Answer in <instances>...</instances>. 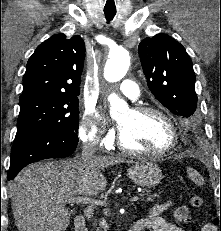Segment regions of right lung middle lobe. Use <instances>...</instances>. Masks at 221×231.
I'll return each instance as SVG.
<instances>
[{
	"mask_svg": "<svg viewBox=\"0 0 221 231\" xmlns=\"http://www.w3.org/2000/svg\"><path fill=\"white\" fill-rule=\"evenodd\" d=\"M77 96H33L20 99L15 140L34 130H57L77 135Z\"/></svg>",
	"mask_w": 221,
	"mask_h": 231,
	"instance_id": "right-lung-middle-lobe-1",
	"label": "right lung middle lobe"
}]
</instances>
